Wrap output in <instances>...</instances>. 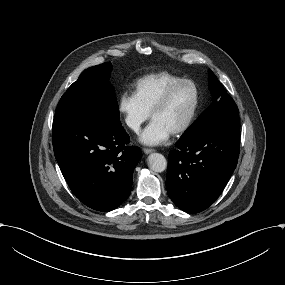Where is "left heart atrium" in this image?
Here are the masks:
<instances>
[{"label":"left heart atrium","instance_id":"left-heart-atrium-1","mask_svg":"<svg viewBox=\"0 0 285 285\" xmlns=\"http://www.w3.org/2000/svg\"><path fill=\"white\" fill-rule=\"evenodd\" d=\"M172 130L157 119H152L141 134L140 140L146 145H159L167 141Z\"/></svg>","mask_w":285,"mask_h":285}]
</instances>
